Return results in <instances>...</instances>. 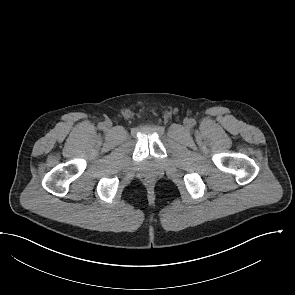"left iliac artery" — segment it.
<instances>
[{
	"instance_id": "obj_1",
	"label": "left iliac artery",
	"mask_w": 295,
	"mask_h": 295,
	"mask_svg": "<svg viewBox=\"0 0 295 295\" xmlns=\"http://www.w3.org/2000/svg\"><path fill=\"white\" fill-rule=\"evenodd\" d=\"M191 120V124L192 125H195L196 124V121L194 119H190Z\"/></svg>"
}]
</instances>
